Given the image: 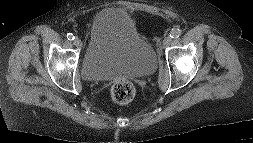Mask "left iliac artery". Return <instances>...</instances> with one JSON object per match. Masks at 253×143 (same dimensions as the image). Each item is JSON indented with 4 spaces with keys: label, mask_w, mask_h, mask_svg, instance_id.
<instances>
[{
    "label": "left iliac artery",
    "mask_w": 253,
    "mask_h": 143,
    "mask_svg": "<svg viewBox=\"0 0 253 143\" xmlns=\"http://www.w3.org/2000/svg\"><path fill=\"white\" fill-rule=\"evenodd\" d=\"M180 35H181V30L178 29V28H174V29H172V31L170 32V37H171V38H174V39L178 38Z\"/></svg>",
    "instance_id": "left-iliac-artery-1"
}]
</instances>
